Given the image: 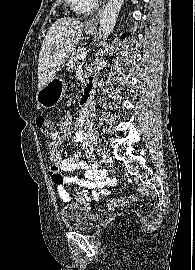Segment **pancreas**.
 Listing matches in <instances>:
<instances>
[{"label":"pancreas","instance_id":"cf45deb5","mask_svg":"<svg viewBox=\"0 0 195 270\" xmlns=\"http://www.w3.org/2000/svg\"><path fill=\"white\" fill-rule=\"evenodd\" d=\"M82 52H85V50L80 48V49H77L71 53L70 57L68 58V62H67V69L68 70H72L77 66V64H78L77 56Z\"/></svg>","mask_w":195,"mask_h":270}]
</instances>
